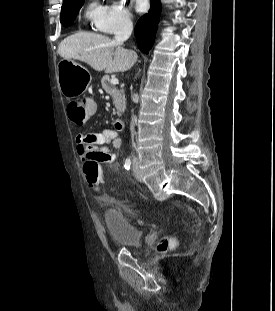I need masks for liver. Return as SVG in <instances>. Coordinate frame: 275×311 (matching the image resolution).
Masks as SVG:
<instances>
[{
    "label": "liver",
    "instance_id": "1",
    "mask_svg": "<svg viewBox=\"0 0 275 311\" xmlns=\"http://www.w3.org/2000/svg\"><path fill=\"white\" fill-rule=\"evenodd\" d=\"M58 54L64 59L85 62L94 70L105 73L128 71L138 58L135 51L121 47L109 37L85 31L61 41Z\"/></svg>",
    "mask_w": 275,
    "mask_h": 311
}]
</instances>
